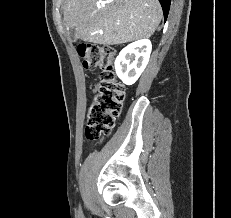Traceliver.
Masks as SVG:
<instances>
[{
  "label": "liver",
  "instance_id": "obj_1",
  "mask_svg": "<svg viewBox=\"0 0 231 218\" xmlns=\"http://www.w3.org/2000/svg\"><path fill=\"white\" fill-rule=\"evenodd\" d=\"M63 8L66 29L100 45L149 38L163 15L158 0H66Z\"/></svg>",
  "mask_w": 231,
  "mask_h": 218
}]
</instances>
